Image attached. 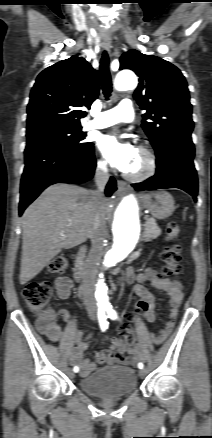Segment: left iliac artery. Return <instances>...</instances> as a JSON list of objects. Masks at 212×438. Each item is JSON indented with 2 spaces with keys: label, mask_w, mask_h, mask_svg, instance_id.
I'll list each match as a JSON object with an SVG mask.
<instances>
[{
  "label": "left iliac artery",
  "mask_w": 212,
  "mask_h": 438,
  "mask_svg": "<svg viewBox=\"0 0 212 438\" xmlns=\"http://www.w3.org/2000/svg\"><path fill=\"white\" fill-rule=\"evenodd\" d=\"M106 311H107L108 317H109L110 319L115 320V319L117 318V313H116V311L112 308V306H108V307H106ZM143 367H144L143 363L140 362V363L138 364V368H139V369H143Z\"/></svg>",
  "instance_id": "obj_1"
}]
</instances>
